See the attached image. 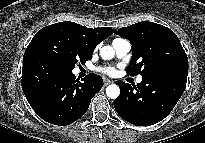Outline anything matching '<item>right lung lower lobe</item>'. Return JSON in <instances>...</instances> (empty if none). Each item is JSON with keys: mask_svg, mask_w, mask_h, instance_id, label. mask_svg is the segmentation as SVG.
Here are the masks:
<instances>
[{"mask_svg": "<svg viewBox=\"0 0 205 143\" xmlns=\"http://www.w3.org/2000/svg\"><path fill=\"white\" fill-rule=\"evenodd\" d=\"M102 87L99 75L89 74L80 82L71 69L53 60L34 55L23 59V92L36 114L51 124L65 126L81 118Z\"/></svg>", "mask_w": 205, "mask_h": 143, "instance_id": "1", "label": "right lung lower lobe"}]
</instances>
